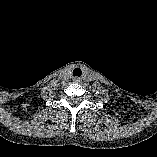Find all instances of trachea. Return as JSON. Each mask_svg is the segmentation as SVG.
I'll list each match as a JSON object with an SVG mask.
<instances>
[{"label": "trachea", "mask_w": 157, "mask_h": 157, "mask_svg": "<svg viewBox=\"0 0 157 157\" xmlns=\"http://www.w3.org/2000/svg\"><path fill=\"white\" fill-rule=\"evenodd\" d=\"M81 75H82V71H81L80 68H75V69L73 70V76H74V77H80Z\"/></svg>", "instance_id": "3493384b"}]
</instances>
